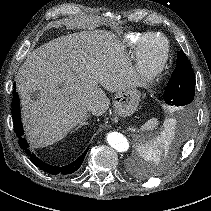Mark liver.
I'll return each instance as SVG.
<instances>
[{"label": "liver", "instance_id": "liver-1", "mask_svg": "<svg viewBox=\"0 0 211 211\" xmlns=\"http://www.w3.org/2000/svg\"><path fill=\"white\" fill-rule=\"evenodd\" d=\"M22 121L29 143L46 147L63 139L87 116L104 114L114 93L134 87L125 46L108 31L58 37L29 53L17 75ZM38 91L39 99L32 100Z\"/></svg>", "mask_w": 211, "mask_h": 211}]
</instances>
